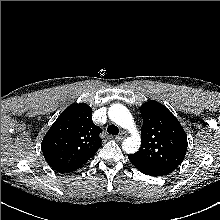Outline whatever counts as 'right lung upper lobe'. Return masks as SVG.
Segmentation results:
<instances>
[{
    "label": "right lung upper lobe",
    "mask_w": 220,
    "mask_h": 220,
    "mask_svg": "<svg viewBox=\"0 0 220 220\" xmlns=\"http://www.w3.org/2000/svg\"><path fill=\"white\" fill-rule=\"evenodd\" d=\"M101 128L92 121V109L87 104L66 108L43 138L42 152L49 166L60 173L81 167L98 150Z\"/></svg>",
    "instance_id": "right-lung-upper-lobe-1"
}]
</instances>
